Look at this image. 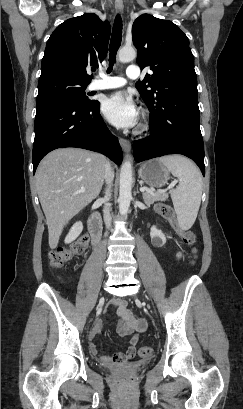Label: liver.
Masks as SVG:
<instances>
[{"mask_svg":"<svg viewBox=\"0 0 243 409\" xmlns=\"http://www.w3.org/2000/svg\"><path fill=\"white\" fill-rule=\"evenodd\" d=\"M105 164L103 155L78 148L56 149L39 163L35 181L51 249L64 226L99 195Z\"/></svg>","mask_w":243,"mask_h":409,"instance_id":"1","label":"liver"}]
</instances>
